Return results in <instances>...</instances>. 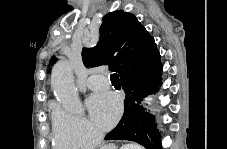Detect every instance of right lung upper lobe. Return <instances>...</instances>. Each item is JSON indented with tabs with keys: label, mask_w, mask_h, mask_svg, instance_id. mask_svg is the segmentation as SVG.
I'll use <instances>...</instances> for the list:
<instances>
[{
	"label": "right lung upper lobe",
	"mask_w": 227,
	"mask_h": 149,
	"mask_svg": "<svg viewBox=\"0 0 227 149\" xmlns=\"http://www.w3.org/2000/svg\"><path fill=\"white\" fill-rule=\"evenodd\" d=\"M159 57L153 37L134 15L122 10L105 15L97 45L82 50L86 67L109 65V69L118 72L120 77ZM55 61L52 57L50 65Z\"/></svg>",
	"instance_id": "obj_1"
}]
</instances>
